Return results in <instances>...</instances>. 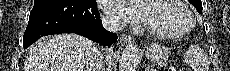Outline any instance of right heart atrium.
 <instances>
[{
  "mask_svg": "<svg viewBox=\"0 0 230 71\" xmlns=\"http://www.w3.org/2000/svg\"><path fill=\"white\" fill-rule=\"evenodd\" d=\"M108 21H109V22H112V23H114V22H115V20L110 19V18L108 19Z\"/></svg>",
  "mask_w": 230,
  "mask_h": 71,
  "instance_id": "obj_1",
  "label": "right heart atrium"
}]
</instances>
